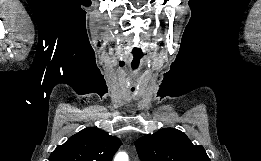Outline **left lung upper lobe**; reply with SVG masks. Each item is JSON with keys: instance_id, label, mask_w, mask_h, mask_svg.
Wrapping results in <instances>:
<instances>
[{"instance_id": "obj_1", "label": "left lung upper lobe", "mask_w": 261, "mask_h": 161, "mask_svg": "<svg viewBox=\"0 0 261 161\" xmlns=\"http://www.w3.org/2000/svg\"><path fill=\"white\" fill-rule=\"evenodd\" d=\"M141 161H210L201 145L174 128H164L135 142Z\"/></svg>"}]
</instances>
